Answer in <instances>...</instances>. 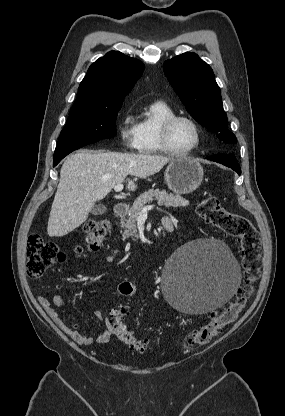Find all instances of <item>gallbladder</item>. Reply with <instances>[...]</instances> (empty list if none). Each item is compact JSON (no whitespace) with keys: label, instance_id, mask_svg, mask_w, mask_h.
<instances>
[{"label":"gallbladder","instance_id":"gallbladder-1","mask_svg":"<svg viewBox=\"0 0 285 416\" xmlns=\"http://www.w3.org/2000/svg\"><path fill=\"white\" fill-rule=\"evenodd\" d=\"M106 210L107 208L106 206H103V204H94L91 214H93V216H102V214H105Z\"/></svg>","mask_w":285,"mask_h":416}]
</instances>
